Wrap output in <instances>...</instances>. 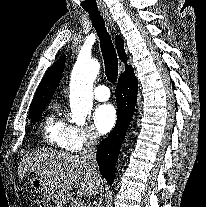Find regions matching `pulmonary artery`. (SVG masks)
<instances>
[{
	"label": "pulmonary artery",
	"instance_id": "obj_1",
	"mask_svg": "<svg viewBox=\"0 0 206 207\" xmlns=\"http://www.w3.org/2000/svg\"><path fill=\"white\" fill-rule=\"evenodd\" d=\"M111 96L110 90L105 85H99L94 89V97L99 101L108 100Z\"/></svg>",
	"mask_w": 206,
	"mask_h": 207
}]
</instances>
